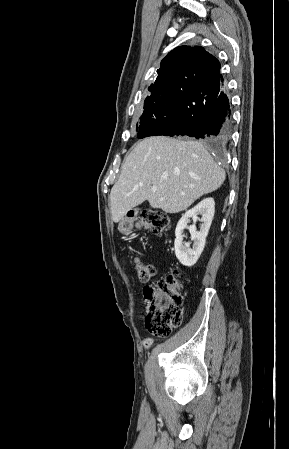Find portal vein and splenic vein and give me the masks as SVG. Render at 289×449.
<instances>
[{"mask_svg": "<svg viewBox=\"0 0 289 449\" xmlns=\"http://www.w3.org/2000/svg\"><path fill=\"white\" fill-rule=\"evenodd\" d=\"M157 187L155 185L152 186L151 190L156 191Z\"/></svg>", "mask_w": 289, "mask_h": 449, "instance_id": "18ae733b", "label": "portal vein and splenic vein"}]
</instances>
